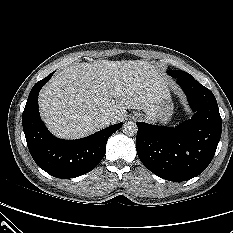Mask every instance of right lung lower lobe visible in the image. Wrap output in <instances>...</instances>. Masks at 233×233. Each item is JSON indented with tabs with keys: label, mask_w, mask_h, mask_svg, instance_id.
<instances>
[{
	"label": "right lung lower lobe",
	"mask_w": 233,
	"mask_h": 233,
	"mask_svg": "<svg viewBox=\"0 0 233 233\" xmlns=\"http://www.w3.org/2000/svg\"><path fill=\"white\" fill-rule=\"evenodd\" d=\"M53 73L33 86L22 115L23 130L30 154L41 169L57 178H74L98 165L104 157L108 138L122 123L77 140H62L53 136L40 119L38 110L39 91Z\"/></svg>",
	"instance_id": "98d812e1"
}]
</instances>
